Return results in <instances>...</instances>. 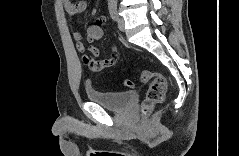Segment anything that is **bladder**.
Masks as SVG:
<instances>
[{
    "label": "bladder",
    "instance_id": "bladder-1",
    "mask_svg": "<svg viewBox=\"0 0 239 156\" xmlns=\"http://www.w3.org/2000/svg\"><path fill=\"white\" fill-rule=\"evenodd\" d=\"M135 93L126 92H109L86 88V98L93 103L101 105L103 108L111 111L121 112L126 110L133 102Z\"/></svg>",
    "mask_w": 239,
    "mask_h": 156
}]
</instances>
